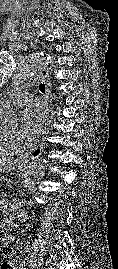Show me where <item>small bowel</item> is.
I'll return each instance as SVG.
<instances>
[{
    "instance_id": "small-bowel-1",
    "label": "small bowel",
    "mask_w": 118,
    "mask_h": 269,
    "mask_svg": "<svg viewBox=\"0 0 118 269\" xmlns=\"http://www.w3.org/2000/svg\"><path fill=\"white\" fill-rule=\"evenodd\" d=\"M13 242V237L11 235H5V237L2 239V243L4 245H9Z\"/></svg>"
}]
</instances>
